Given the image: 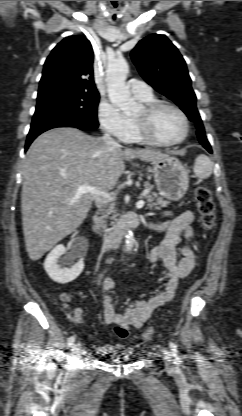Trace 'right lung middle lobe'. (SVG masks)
Wrapping results in <instances>:
<instances>
[{"label":"right lung middle lobe","mask_w":242,"mask_h":416,"mask_svg":"<svg viewBox=\"0 0 242 416\" xmlns=\"http://www.w3.org/2000/svg\"><path fill=\"white\" fill-rule=\"evenodd\" d=\"M98 102V93L65 89L38 95L32 125L44 120L67 118L96 129L99 126L97 120Z\"/></svg>","instance_id":"obj_1"}]
</instances>
